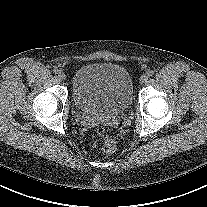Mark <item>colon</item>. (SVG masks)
<instances>
[{
    "label": "colon",
    "mask_w": 207,
    "mask_h": 207,
    "mask_svg": "<svg viewBox=\"0 0 207 207\" xmlns=\"http://www.w3.org/2000/svg\"><path fill=\"white\" fill-rule=\"evenodd\" d=\"M96 135L103 141L102 152L105 155L112 154L115 151L116 145L114 140L108 134L106 128L104 126H98L96 128Z\"/></svg>",
    "instance_id": "1"
}]
</instances>
